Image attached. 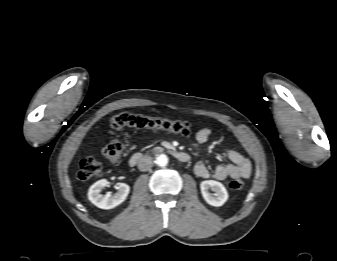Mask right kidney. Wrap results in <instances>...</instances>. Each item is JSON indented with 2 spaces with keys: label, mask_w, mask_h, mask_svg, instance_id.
Returning <instances> with one entry per match:
<instances>
[{
  "label": "right kidney",
  "mask_w": 337,
  "mask_h": 261,
  "mask_svg": "<svg viewBox=\"0 0 337 261\" xmlns=\"http://www.w3.org/2000/svg\"><path fill=\"white\" fill-rule=\"evenodd\" d=\"M109 182L106 179H101L94 183L88 191V199L97 207L101 209H112L121 204L127 198L130 187L124 183H118V191L112 195L108 192L102 195L101 191L104 187L108 186Z\"/></svg>",
  "instance_id": "1"
}]
</instances>
